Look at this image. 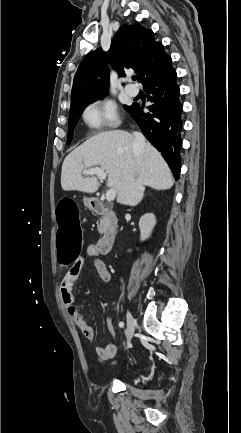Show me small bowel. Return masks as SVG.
I'll return each instance as SVG.
<instances>
[{
  "label": "small bowel",
  "instance_id": "c3829d8e",
  "mask_svg": "<svg viewBox=\"0 0 241 433\" xmlns=\"http://www.w3.org/2000/svg\"><path fill=\"white\" fill-rule=\"evenodd\" d=\"M100 253L97 248V244H93L89 246L87 250L86 258H81L75 261L74 265L70 267V269L65 274L62 283H61V297L64 303L65 309L68 315L71 317L73 322L78 326L82 335L87 340H93L95 336L94 329L91 325H89L82 314L78 310L73 296H72V288L76 279L78 278L82 266L86 261L91 263L96 269L100 279L104 282H108L111 279V273L107 267V265L100 259ZM106 326L111 335H115L114 325L110 318L106 319ZM117 352V347L115 344H107L105 346H99L96 348V355L102 361H109L114 358Z\"/></svg>",
  "mask_w": 241,
  "mask_h": 433
}]
</instances>
